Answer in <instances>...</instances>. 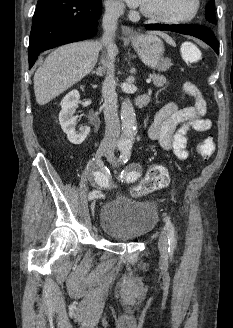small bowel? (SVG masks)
I'll return each mask as SVG.
<instances>
[{
    "instance_id": "obj_1",
    "label": "small bowel",
    "mask_w": 233,
    "mask_h": 328,
    "mask_svg": "<svg viewBox=\"0 0 233 328\" xmlns=\"http://www.w3.org/2000/svg\"><path fill=\"white\" fill-rule=\"evenodd\" d=\"M184 90L194 98L189 107H179L175 103L165 104L155 115L148 130L151 140L157 141L167 151L180 160L188 157L187 136L193 131L205 132L211 129L212 122L206 118L207 104L196 85L186 82Z\"/></svg>"
}]
</instances>
